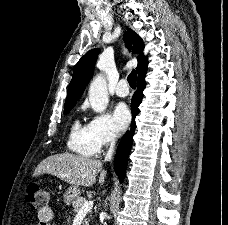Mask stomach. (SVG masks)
<instances>
[{"instance_id": "0dacf381", "label": "stomach", "mask_w": 228, "mask_h": 225, "mask_svg": "<svg viewBox=\"0 0 228 225\" xmlns=\"http://www.w3.org/2000/svg\"><path fill=\"white\" fill-rule=\"evenodd\" d=\"M81 191L77 185H71L67 191H65L63 195L64 203L66 205H70V203H73V201H76L78 197H80Z\"/></svg>"}]
</instances>
